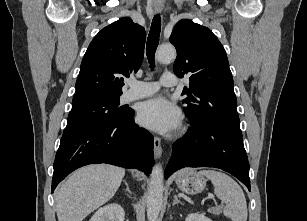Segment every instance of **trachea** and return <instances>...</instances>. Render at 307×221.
<instances>
[{
    "mask_svg": "<svg viewBox=\"0 0 307 221\" xmlns=\"http://www.w3.org/2000/svg\"><path fill=\"white\" fill-rule=\"evenodd\" d=\"M160 30H161V18L160 15L157 14L153 18L146 46L147 58L152 68L154 67L155 52L159 44Z\"/></svg>",
    "mask_w": 307,
    "mask_h": 221,
    "instance_id": "1",
    "label": "trachea"
}]
</instances>
